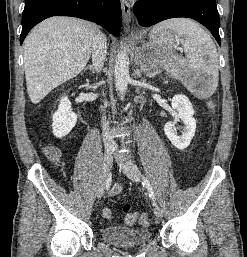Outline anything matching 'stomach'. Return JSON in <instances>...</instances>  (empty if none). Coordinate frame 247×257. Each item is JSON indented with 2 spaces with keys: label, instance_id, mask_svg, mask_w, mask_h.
I'll return each instance as SVG.
<instances>
[{
  "label": "stomach",
  "instance_id": "0dacf381",
  "mask_svg": "<svg viewBox=\"0 0 247 257\" xmlns=\"http://www.w3.org/2000/svg\"><path fill=\"white\" fill-rule=\"evenodd\" d=\"M145 34L140 36L141 47L136 50V62L145 72L160 63L168 68L170 73L180 78L188 88L196 87L190 69L185 62L178 61L174 53L176 36L171 30H160L148 36L149 41L144 40Z\"/></svg>",
  "mask_w": 247,
  "mask_h": 257
}]
</instances>
